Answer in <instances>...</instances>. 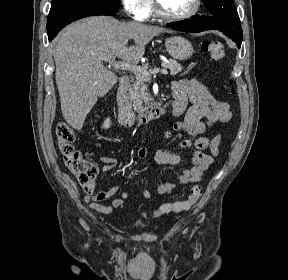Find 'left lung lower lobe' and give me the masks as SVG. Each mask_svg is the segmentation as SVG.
Returning <instances> with one entry per match:
<instances>
[{"label": "left lung lower lobe", "mask_w": 288, "mask_h": 280, "mask_svg": "<svg viewBox=\"0 0 288 280\" xmlns=\"http://www.w3.org/2000/svg\"><path fill=\"white\" fill-rule=\"evenodd\" d=\"M167 26L172 27L176 30L186 31V32H202L204 30H216L217 28L212 25L207 18H202L200 16H195L190 20L182 22L168 23ZM218 30V29H217ZM237 46L240 48L241 41L234 40Z\"/></svg>", "instance_id": "obj_1"}]
</instances>
